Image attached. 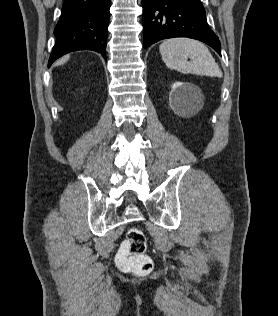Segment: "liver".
<instances>
[{"instance_id": "6515ba94", "label": "liver", "mask_w": 278, "mask_h": 316, "mask_svg": "<svg viewBox=\"0 0 278 316\" xmlns=\"http://www.w3.org/2000/svg\"><path fill=\"white\" fill-rule=\"evenodd\" d=\"M68 60H69V55H67V56H65V57H63V58H61V59L57 62L56 65H62V64H64L65 62H67Z\"/></svg>"}]
</instances>
